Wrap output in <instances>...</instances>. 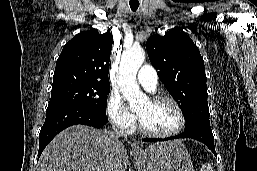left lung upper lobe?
I'll list each match as a JSON object with an SVG mask.
<instances>
[{"instance_id":"1","label":"left lung upper lobe","mask_w":257,"mask_h":171,"mask_svg":"<svg viewBox=\"0 0 257 171\" xmlns=\"http://www.w3.org/2000/svg\"><path fill=\"white\" fill-rule=\"evenodd\" d=\"M146 49L159 79L184 113L185 130H211L204 62L191 38L170 30L150 36Z\"/></svg>"}]
</instances>
